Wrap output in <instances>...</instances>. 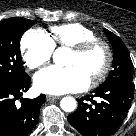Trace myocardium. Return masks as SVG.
I'll use <instances>...</instances> for the list:
<instances>
[{
  "label": "myocardium",
  "mask_w": 136,
  "mask_h": 136,
  "mask_svg": "<svg viewBox=\"0 0 136 136\" xmlns=\"http://www.w3.org/2000/svg\"><path fill=\"white\" fill-rule=\"evenodd\" d=\"M95 46H102L104 48L106 53V59L101 69L90 78V83L92 85H95L99 81L104 79L112 67L114 54L111 45L105 39L95 37L84 40L70 48L72 52L78 55H82L88 52L90 49L94 48Z\"/></svg>",
  "instance_id": "f54148a6"
}]
</instances>
